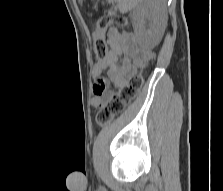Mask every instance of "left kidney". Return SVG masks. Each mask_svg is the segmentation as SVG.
<instances>
[{"mask_svg": "<svg viewBox=\"0 0 223 191\" xmlns=\"http://www.w3.org/2000/svg\"><path fill=\"white\" fill-rule=\"evenodd\" d=\"M165 26L166 0H146L134 13V32L142 46H155L160 41Z\"/></svg>", "mask_w": 223, "mask_h": 191, "instance_id": "obj_1", "label": "left kidney"}]
</instances>
